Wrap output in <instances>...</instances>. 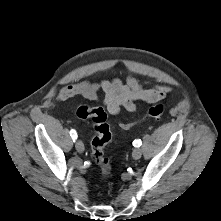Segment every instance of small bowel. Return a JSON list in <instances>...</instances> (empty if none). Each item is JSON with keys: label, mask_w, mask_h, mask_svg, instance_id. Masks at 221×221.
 <instances>
[{"label": "small bowel", "mask_w": 221, "mask_h": 221, "mask_svg": "<svg viewBox=\"0 0 221 221\" xmlns=\"http://www.w3.org/2000/svg\"><path fill=\"white\" fill-rule=\"evenodd\" d=\"M170 88L164 85L146 87L134 76L127 75L125 80L113 78L100 82L81 81L62 87L57 99L60 102L81 96L90 101H97L102 94V102L111 115H117L122 109L129 112L136 110V102L153 103L162 100Z\"/></svg>", "instance_id": "c3829d8e"}]
</instances>
